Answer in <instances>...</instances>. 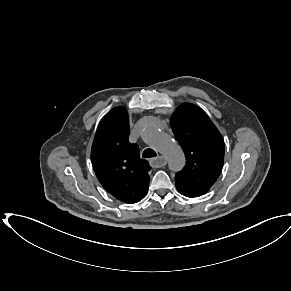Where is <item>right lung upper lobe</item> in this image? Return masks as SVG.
Returning a JSON list of instances; mask_svg holds the SVG:
<instances>
[{"label": "right lung upper lobe", "mask_w": 291, "mask_h": 291, "mask_svg": "<svg viewBox=\"0 0 291 291\" xmlns=\"http://www.w3.org/2000/svg\"><path fill=\"white\" fill-rule=\"evenodd\" d=\"M128 114L124 107L110 110L100 121L91 162L101 185L116 199L133 204L148 191L149 163L139 157L137 144H131Z\"/></svg>", "instance_id": "obj_1"}]
</instances>
